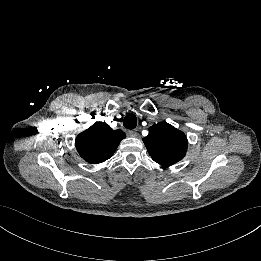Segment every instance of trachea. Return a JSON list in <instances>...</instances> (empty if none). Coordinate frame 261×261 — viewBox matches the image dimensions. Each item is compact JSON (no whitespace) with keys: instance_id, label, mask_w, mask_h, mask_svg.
Here are the masks:
<instances>
[{"instance_id":"3493384b","label":"trachea","mask_w":261,"mask_h":261,"mask_svg":"<svg viewBox=\"0 0 261 261\" xmlns=\"http://www.w3.org/2000/svg\"><path fill=\"white\" fill-rule=\"evenodd\" d=\"M123 125L127 129H134L137 126L136 116L132 113L128 114L123 120Z\"/></svg>"}]
</instances>
